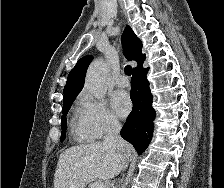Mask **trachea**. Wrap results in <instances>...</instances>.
<instances>
[{
  "label": "trachea",
  "instance_id": "trachea-1",
  "mask_svg": "<svg viewBox=\"0 0 224 188\" xmlns=\"http://www.w3.org/2000/svg\"><path fill=\"white\" fill-rule=\"evenodd\" d=\"M124 71H125V74H126V75L131 76V73H132V67L129 66V65H127V66H125Z\"/></svg>",
  "mask_w": 224,
  "mask_h": 188
}]
</instances>
